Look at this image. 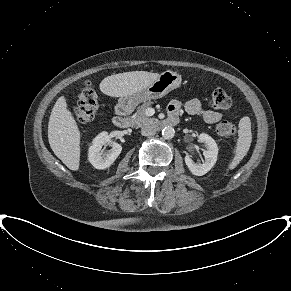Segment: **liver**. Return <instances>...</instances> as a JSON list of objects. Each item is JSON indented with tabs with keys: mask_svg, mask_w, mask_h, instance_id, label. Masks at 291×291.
<instances>
[{
	"mask_svg": "<svg viewBox=\"0 0 291 291\" xmlns=\"http://www.w3.org/2000/svg\"><path fill=\"white\" fill-rule=\"evenodd\" d=\"M158 73L132 71L104 78L100 90L111 97L132 95L151 85ZM80 131L64 96L55 103L48 123V141L54 154L70 169L77 171L80 162Z\"/></svg>",
	"mask_w": 291,
	"mask_h": 291,
	"instance_id": "liver-1",
	"label": "liver"
}]
</instances>
